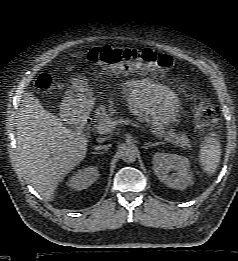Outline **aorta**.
I'll return each mask as SVG.
<instances>
[{
	"label": "aorta",
	"instance_id": "obj_1",
	"mask_svg": "<svg viewBox=\"0 0 238 261\" xmlns=\"http://www.w3.org/2000/svg\"><path fill=\"white\" fill-rule=\"evenodd\" d=\"M122 160L126 163H133L137 158V151L135 148L127 146L121 151Z\"/></svg>",
	"mask_w": 238,
	"mask_h": 261
}]
</instances>
